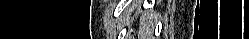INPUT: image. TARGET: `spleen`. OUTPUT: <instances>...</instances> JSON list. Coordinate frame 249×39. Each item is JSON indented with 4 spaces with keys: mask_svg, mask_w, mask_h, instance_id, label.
Segmentation results:
<instances>
[{
    "mask_svg": "<svg viewBox=\"0 0 249 39\" xmlns=\"http://www.w3.org/2000/svg\"><path fill=\"white\" fill-rule=\"evenodd\" d=\"M158 14L156 13H145L142 15L140 19V34L143 37L142 39H146V36H149L155 24L157 23Z\"/></svg>",
    "mask_w": 249,
    "mask_h": 39,
    "instance_id": "spleen-1",
    "label": "spleen"
}]
</instances>
